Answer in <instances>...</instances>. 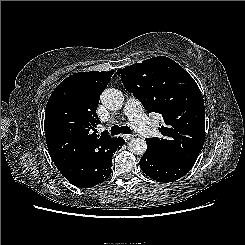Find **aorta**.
<instances>
[{
	"label": "aorta",
	"instance_id": "1",
	"mask_svg": "<svg viewBox=\"0 0 245 245\" xmlns=\"http://www.w3.org/2000/svg\"><path fill=\"white\" fill-rule=\"evenodd\" d=\"M101 103L109 110H118L123 106L124 95L115 88L105 89L101 94ZM147 144L144 139L133 138L128 143V150L135 155H143Z\"/></svg>",
	"mask_w": 245,
	"mask_h": 245
}]
</instances>
